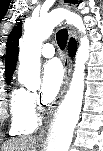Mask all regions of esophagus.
<instances>
[{
    "mask_svg": "<svg viewBox=\"0 0 103 151\" xmlns=\"http://www.w3.org/2000/svg\"><path fill=\"white\" fill-rule=\"evenodd\" d=\"M60 4L62 6L67 7V4L64 2V0H60ZM68 32L70 34L71 37L75 36V30L71 25H68ZM63 65H64V79H63V83H62V87L59 93V97L58 100L56 102V106L53 110H51L50 112V117L48 118V120L45 122L40 134H39V140L43 141L46 137L48 128L50 126V122L52 120V116L54 114L55 109L58 107V105H60L67 89H68V85H69V78H70V73H71V60L70 57L68 55V52H65V55L63 57Z\"/></svg>",
    "mask_w": 103,
    "mask_h": 151,
    "instance_id": "esophagus-1",
    "label": "esophagus"
}]
</instances>
